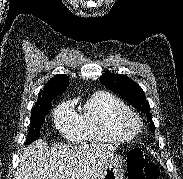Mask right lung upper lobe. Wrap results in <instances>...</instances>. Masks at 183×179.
Wrapping results in <instances>:
<instances>
[{"label":"right lung upper lobe","instance_id":"obj_1","mask_svg":"<svg viewBox=\"0 0 183 179\" xmlns=\"http://www.w3.org/2000/svg\"><path fill=\"white\" fill-rule=\"evenodd\" d=\"M69 83L67 75H56L53 77L38 94V100L35 106L43 105L52 98L57 97L64 93Z\"/></svg>","mask_w":183,"mask_h":179}]
</instances>
